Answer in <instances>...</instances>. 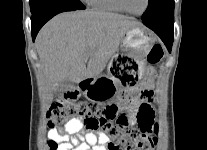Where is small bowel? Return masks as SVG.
Wrapping results in <instances>:
<instances>
[{
	"mask_svg": "<svg viewBox=\"0 0 207 150\" xmlns=\"http://www.w3.org/2000/svg\"><path fill=\"white\" fill-rule=\"evenodd\" d=\"M48 138L58 143L57 150H107L111 141L104 132L85 131L83 122L78 118L68 121L62 129H50Z\"/></svg>",
	"mask_w": 207,
	"mask_h": 150,
	"instance_id": "1",
	"label": "small bowel"
}]
</instances>
